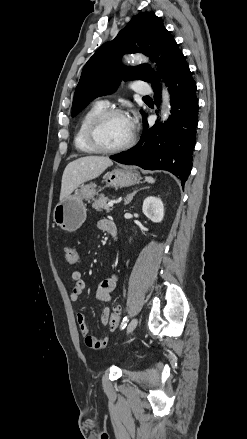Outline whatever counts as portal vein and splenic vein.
Returning a JSON list of instances; mask_svg holds the SVG:
<instances>
[{
	"instance_id": "18ae733b",
	"label": "portal vein and splenic vein",
	"mask_w": 247,
	"mask_h": 439,
	"mask_svg": "<svg viewBox=\"0 0 247 439\" xmlns=\"http://www.w3.org/2000/svg\"><path fill=\"white\" fill-rule=\"evenodd\" d=\"M108 207H113V205H114V202H112V201H110V202H108Z\"/></svg>"
}]
</instances>
